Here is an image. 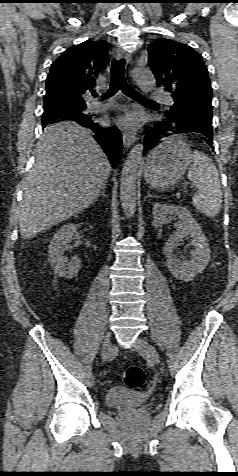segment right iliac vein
Returning <instances> with one entry per match:
<instances>
[{
	"instance_id": "63e3f726",
	"label": "right iliac vein",
	"mask_w": 238,
	"mask_h": 476,
	"mask_svg": "<svg viewBox=\"0 0 238 476\" xmlns=\"http://www.w3.org/2000/svg\"><path fill=\"white\" fill-rule=\"evenodd\" d=\"M113 352V345L111 343V333L108 332L104 338L101 348L102 361H106Z\"/></svg>"
}]
</instances>
